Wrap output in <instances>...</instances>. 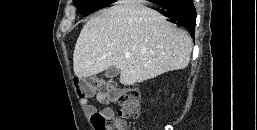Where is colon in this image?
<instances>
[{"instance_id":"1","label":"colon","mask_w":257,"mask_h":130,"mask_svg":"<svg viewBox=\"0 0 257 130\" xmlns=\"http://www.w3.org/2000/svg\"><path fill=\"white\" fill-rule=\"evenodd\" d=\"M74 85L79 97H90L100 93L118 101L120 109L117 115L94 112L91 123L95 130H128L126 119L136 118L141 109L140 91L137 86L129 85L117 90L112 80L90 78L74 79Z\"/></svg>"}]
</instances>
